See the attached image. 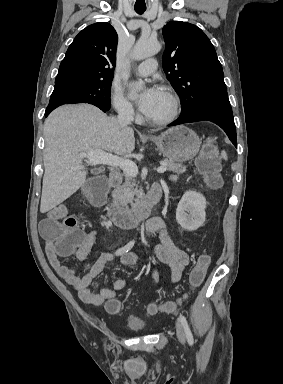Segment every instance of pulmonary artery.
Returning a JSON list of instances; mask_svg holds the SVG:
<instances>
[{
    "mask_svg": "<svg viewBox=\"0 0 283 384\" xmlns=\"http://www.w3.org/2000/svg\"><path fill=\"white\" fill-rule=\"evenodd\" d=\"M157 70L156 61H145L136 65L134 72L140 76H148Z\"/></svg>",
    "mask_w": 283,
    "mask_h": 384,
    "instance_id": "1",
    "label": "pulmonary artery"
}]
</instances>
